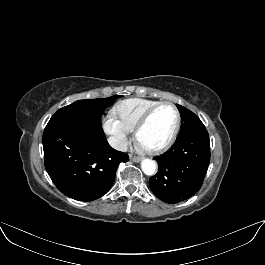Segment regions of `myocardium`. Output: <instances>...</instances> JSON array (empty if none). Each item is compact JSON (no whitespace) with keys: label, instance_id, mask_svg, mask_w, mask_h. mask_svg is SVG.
I'll use <instances>...</instances> for the list:
<instances>
[{"label":"myocardium","instance_id":"obj_1","mask_svg":"<svg viewBox=\"0 0 265 265\" xmlns=\"http://www.w3.org/2000/svg\"><path fill=\"white\" fill-rule=\"evenodd\" d=\"M164 106H169L171 107L176 115V122H175V126L174 129L171 133V135L169 136V138L161 145L157 146V147H153V148H148V147H144L142 145V147L150 154H158L161 153L165 150H167L176 140L178 133L180 131V127H181V114L179 109L177 108V106L175 104H173L172 102H160L158 104H156L155 106L151 107L139 120V122L137 123L136 127H135V137L137 139V141L140 143L139 140V136L141 131L143 130V128L148 124V122L150 121V119L152 118V116L156 113L157 110H159L160 108L164 107Z\"/></svg>","mask_w":265,"mask_h":265}]
</instances>
